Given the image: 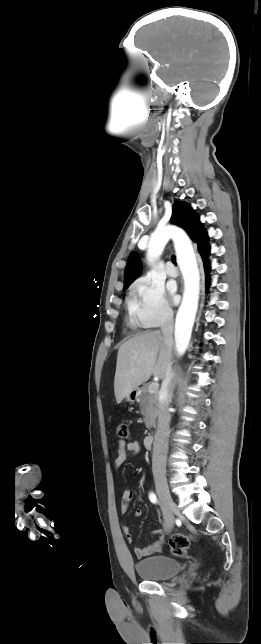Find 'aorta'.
Returning <instances> with one entry per match:
<instances>
[{"instance_id":"762f6f07","label":"aorta","mask_w":261,"mask_h":644,"mask_svg":"<svg viewBox=\"0 0 261 644\" xmlns=\"http://www.w3.org/2000/svg\"><path fill=\"white\" fill-rule=\"evenodd\" d=\"M172 235V232L162 230H157L152 234L146 254L148 264H153L160 257ZM177 261L184 278V294L175 323V348L178 355L181 356L189 345L198 308L199 272L192 249L184 247L178 249Z\"/></svg>"}]
</instances>
